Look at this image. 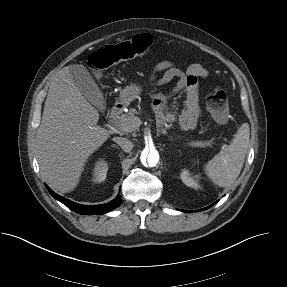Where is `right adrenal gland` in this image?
Instances as JSON below:
<instances>
[{
	"instance_id": "obj_1",
	"label": "right adrenal gland",
	"mask_w": 287,
	"mask_h": 287,
	"mask_svg": "<svg viewBox=\"0 0 287 287\" xmlns=\"http://www.w3.org/2000/svg\"><path fill=\"white\" fill-rule=\"evenodd\" d=\"M112 147H116L117 148V146L115 144H113Z\"/></svg>"
}]
</instances>
